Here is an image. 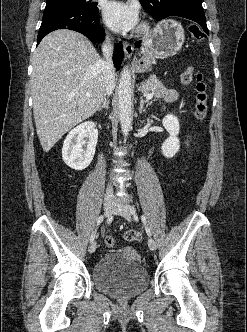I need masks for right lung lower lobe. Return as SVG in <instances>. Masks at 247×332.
I'll return each mask as SVG.
<instances>
[{"instance_id": "right-lung-lower-lobe-1", "label": "right lung lower lobe", "mask_w": 247, "mask_h": 332, "mask_svg": "<svg viewBox=\"0 0 247 332\" xmlns=\"http://www.w3.org/2000/svg\"><path fill=\"white\" fill-rule=\"evenodd\" d=\"M58 29H69L82 33L91 41L101 42L105 33L100 30V16L98 9L87 11L75 7H54L44 10L42 23L38 32L37 44L48 33ZM113 54V62L117 70L123 60V47L119 42Z\"/></svg>"}]
</instances>
